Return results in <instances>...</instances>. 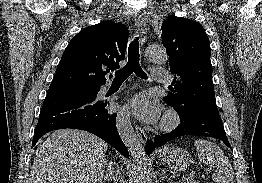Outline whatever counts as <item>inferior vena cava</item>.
<instances>
[{
    "mask_svg": "<svg viewBox=\"0 0 262 183\" xmlns=\"http://www.w3.org/2000/svg\"><path fill=\"white\" fill-rule=\"evenodd\" d=\"M116 178H117V181L119 180L120 181V183H124L123 182V177H122V174H121V172H120V170H119V167H117L116 166Z\"/></svg>",
    "mask_w": 262,
    "mask_h": 183,
    "instance_id": "inferior-vena-cava-1",
    "label": "inferior vena cava"
}]
</instances>
